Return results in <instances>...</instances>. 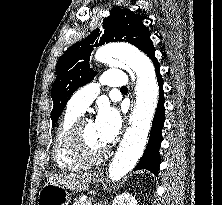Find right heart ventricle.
Instances as JSON below:
<instances>
[{
  "label": "right heart ventricle",
  "instance_id": "obj_1",
  "mask_svg": "<svg viewBox=\"0 0 222 205\" xmlns=\"http://www.w3.org/2000/svg\"><path fill=\"white\" fill-rule=\"evenodd\" d=\"M79 115V113L67 108L56 130L52 147V157L55 165L60 169L75 170L82 167L80 162L72 158L67 148V135Z\"/></svg>",
  "mask_w": 222,
  "mask_h": 205
}]
</instances>
